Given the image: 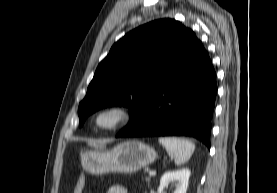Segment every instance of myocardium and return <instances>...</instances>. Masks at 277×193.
<instances>
[{"label": "myocardium", "instance_id": "f54148a6", "mask_svg": "<svg viewBox=\"0 0 277 193\" xmlns=\"http://www.w3.org/2000/svg\"><path fill=\"white\" fill-rule=\"evenodd\" d=\"M103 115H111L112 121L107 125L99 123L100 117ZM133 119V111L130 107L119 104H107L98 108L92 115V123L95 128L104 132H112L127 126Z\"/></svg>", "mask_w": 277, "mask_h": 193}]
</instances>
